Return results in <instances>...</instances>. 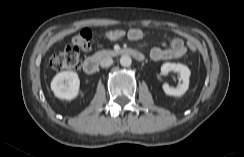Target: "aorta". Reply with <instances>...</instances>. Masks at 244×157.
Wrapping results in <instances>:
<instances>
[{
	"label": "aorta",
	"instance_id": "762f6f07",
	"mask_svg": "<svg viewBox=\"0 0 244 157\" xmlns=\"http://www.w3.org/2000/svg\"><path fill=\"white\" fill-rule=\"evenodd\" d=\"M120 64L123 67H129L132 64V59L129 55H123L120 58Z\"/></svg>",
	"mask_w": 244,
	"mask_h": 157
}]
</instances>
